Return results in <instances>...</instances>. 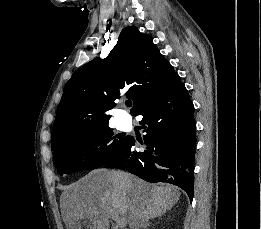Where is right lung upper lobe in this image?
<instances>
[{"mask_svg":"<svg viewBox=\"0 0 261 229\" xmlns=\"http://www.w3.org/2000/svg\"><path fill=\"white\" fill-rule=\"evenodd\" d=\"M177 76L151 36L125 27L106 59L90 61L66 83L53 125L52 150L68 137V128L109 122L120 91L133 100L137 113Z\"/></svg>","mask_w":261,"mask_h":229,"instance_id":"cb5924a9","label":"right lung upper lobe"}]
</instances>
